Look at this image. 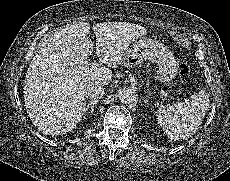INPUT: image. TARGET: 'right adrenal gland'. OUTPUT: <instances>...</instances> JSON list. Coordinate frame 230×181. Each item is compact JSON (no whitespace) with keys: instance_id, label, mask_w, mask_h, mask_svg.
<instances>
[{"instance_id":"obj_1","label":"right adrenal gland","mask_w":230,"mask_h":181,"mask_svg":"<svg viewBox=\"0 0 230 181\" xmlns=\"http://www.w3.org/2000/svg\"><path fill=\"white\" fill-rule=\"evenodd\" d=\"M98 103V101H91L90 103H88L86 105V108H85V112H87L89 109H90V112L93 113L94 112V108H95V105Z\"/></svg>"}]
</instances>
